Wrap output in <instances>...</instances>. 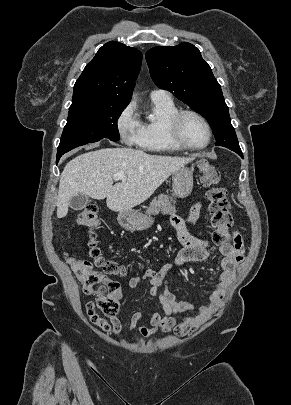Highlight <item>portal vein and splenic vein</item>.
I'll return each instance as SVG.
<instances>
[{
  "label": "portal vein and splenic vein",
  "instance_id": "portal-vein-and-splenic-vein-1",
  "mask_svg": "<svg viewBox=\"0 0 291 405\" xmlns=\"http://www.w3.org/2000/svg\"><path fill=\"white\" fill-rule=\"evenodd\" d=\"M112 178L114 179V180H124L125 179V174L123 173V172H119V173H116V174H114L113 176H112Z\"/></svg>",
  "mask_w": 291,
  "mask_h": 405
}]
</instances>
